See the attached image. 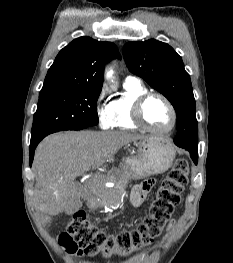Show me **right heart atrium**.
Here are the masks:
<instances>
[{"mask_svg":"<svg viewBox=\"0 0 233 263\" xmlns=\"http://www.w3.org/2000/svg\"><path fill=\"white\" fill-rule=\"evenodd\" d=\"M95 109L100 128L104 130L113 128L111 103L107 99V91L105 88H101L96 97Z\"/></svg>","mask_w":233,"mask_h":263,"instance_id":"1","label":"right heart atrium"}]
</instances>
